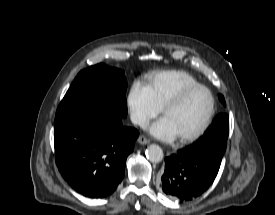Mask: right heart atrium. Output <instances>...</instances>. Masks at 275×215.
Wrapping results in <instances>:
<instances>
[{
  "label": "right heart atrium",
  "mask_w": 275,
  "mask_h": 215,
  "mask_svg": "<svg viewBox=\"0 0 275 215\" xmlns=\"http://www.w3.org/2000/svg\"><path fill=\"white\" fill-rule=\"evenodd\" d=\"M130 116L134 124L145 126L160 113V108L154 102L149 90L140 82H134L128 95Z\"/></svg>",
  "instance_id": "d8ad5b80"
}]
</instances>
